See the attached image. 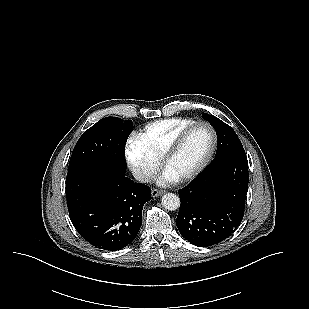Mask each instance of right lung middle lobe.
I'll list each match as a JSON object with an SVG mask.
<instances>
[{
  "label": "right lung middle lobe",
  "instance_id": "1",
  "mask_svg": "<svg viewBox=\"0 0 309 309\" xmlns=\"http://www.w3.org/2000/svg\"><path fill=\"white\" fill-rule=\"evenodd\" d=\"M132 130V120L101 119L79 138L68 171L83 165H97L125 173V144Z\"/></svg>",
  "mask_w": 309,
  "mask_h": 309
}]
</instances>
